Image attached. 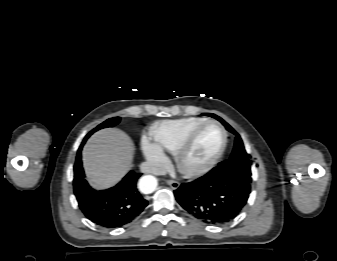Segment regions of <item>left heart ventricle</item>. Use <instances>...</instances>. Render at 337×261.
<instances>
[{"label": "left heart ventricle", "mask_w": 337, "mask_h": 261, "mask_svg": "<svg viewBox=\"0 0 337 261\" xmlns=\"http://www.w3.org/2000/svg\"><path fill=\"white\" fill-rule=\"evenodd\" d=\"M222 143V133L215 125H209L197 135L185 158V166L195 168L205 164L218 151Z\"/></svg>", "instance_id": "b2bd125f"}]
</instances>
